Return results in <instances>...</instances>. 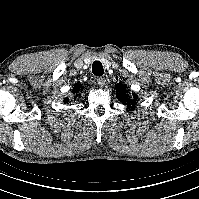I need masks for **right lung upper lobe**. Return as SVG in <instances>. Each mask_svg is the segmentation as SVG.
I'll return each instance as SVG.
<instances>
[{
  "instance_id": "right-lung-upper-lobe-1",
  "label": "right lung upper lobe",
  "mask_w": 199,
  "mask_h": 199,
  "mask_svg": "<svg viewBox=\"0 0 199 199\" xmlns=\"http://www.w3.org/2000/svg\"><path fill=\"white\" fill-rule=\"evenodd\" d=\"M81 88H82L81 85L76 84L75 87H74V93L78 92ZM68 101H69L68 98H65V99H64V102H65V103H68Z\"/></svg>"
}]
</instances>
